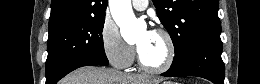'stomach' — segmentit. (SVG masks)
Returning <instances> with one entry per match:
<instances>
[{
	"label": "stomach",
	"mask_w": 260,
	"mask_h": 84,
	"mask_svg": "<svg viewBox=\"0 0 260 84\" xmlns=\"http://www.w3.org/2000/svg\"><path fill=\"white\" fill-rule=\"evenodd\" d=\"M162 84H175V83H173L171 81H166V82H163Z\"/></svg>",
	"instance_id": "stomach-1"
}]
</instances>
